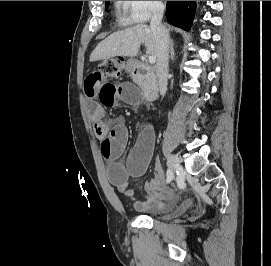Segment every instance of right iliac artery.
I'll return each mask as SVG.
<instances>
[{
    "label": "right iliac artery",
    "mask_w": 271,
    "mask_h": 266,
    "mask_svg": "<svg viewBox=\"0 0 271 266\" xmlns=\"http://www.w3.org/2000/svg\"><path fill=\"white\" fill-rule=\"evenodd\" d=\"M166 176H167L166 178L167 183L171 182L174 177L173 172L170 169H167Z\"/></svg>",
    "instance_id": "1"
}]
</instances>
